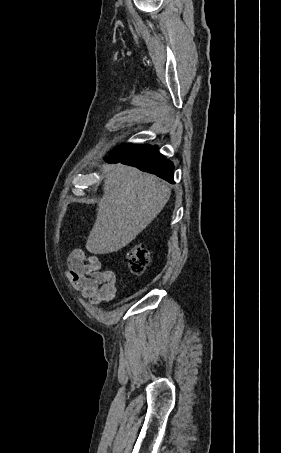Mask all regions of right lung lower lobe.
Returning a JSON list of instances; mask_svg holds the SVG:
<instances>
[{
	"label": "right lung lower lobe",
	"instance_id": "98d812e1",
	"mask_svg": "<svg viewBox=\"0 0 281 453\" xmlns=\"http://www.w3.org/2000/svg\"><path fill=\"white\" fill-rule=\"evenodd\" d=\"M109 163H119L157 175L170 182L173 181L174 166L157 150L156 146L125 144L112 151L105 159Z\"/></svg>",
	"mask_w": 281,
	"mask_h": 453
}]
</instances>
